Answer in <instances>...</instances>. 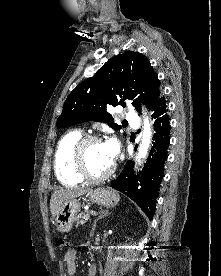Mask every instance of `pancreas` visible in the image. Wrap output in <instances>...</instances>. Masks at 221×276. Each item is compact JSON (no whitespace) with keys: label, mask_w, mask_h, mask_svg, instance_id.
Here are the masks:
<instances>
[{"label":"pancreas","mask_w":221,"mask_h":276,"mask_svg":"<svg viewBox=\"0 0 221 276\" xmlns=\"http://www.w3.org/2000/svg\"><path fill=\"white\" fill-rule=\"evenodd\" d=\"M90 219L89 211H83L77 216V226L79 224H84Z\"/></svg>","instance_id":"obj_1"}]
</instances>
